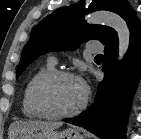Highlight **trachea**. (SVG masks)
Segmentation results:
<instances>
[{
  "instance_id": "1",
  "label": "trachea",
  "mask_w": 141,
  "mask_h": 139,
  "mask_svg": "<svg viewBox=\"0 0 141 139\" xmlns=\"http://www.w3.org/2000/svg\"><path fill=\"white\" fill-rule=\"evenodd\" d=\"M96 58H102V54L96 55Z\"/></svg>"
}]
</instances>
